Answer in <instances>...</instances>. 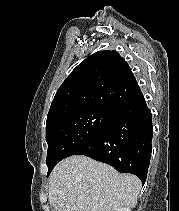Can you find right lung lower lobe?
<instances>
[{"label":"right lung lower lobe","instance_id":"right-lung-lower-lobe-1","mask_svg":"<svg viewBox=\"0 0 179 211\" xmlns=\"http://www.w3.org/2000/svg\"><path fill=\"white\" fill-rule=\"evenodd\" d=\"M152 136V114L139 90L115 110L99 136L74 155H85L111 165L118 172L134 174L144 184Z\"/></svg>","mask_w":179,"mask_h":211}]
</instances>
